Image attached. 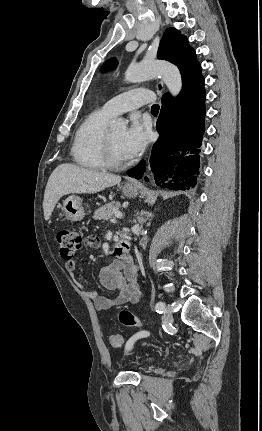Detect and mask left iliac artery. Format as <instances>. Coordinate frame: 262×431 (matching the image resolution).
<instances>
[{
  "label": "left iliac artery",
  "instance_id": "left-iliac-artery-1",
  "mask_svg": "<svg viewBox=\"0 0 262 431\" xmlns=\"http://www.w3.org/2000/svg\"><path fill=\"white\" fill-rule=\"evenodd\" d=\"M155 309L158 313H164L165 312V303L164 302H158L155 305ZM146 335H149V332H145ZM131 346V342L128 341V343L126 344V349H129Z\"/></svg>",
  "mask_w": 262,
  "mask_h": 431
}]
</instances>
